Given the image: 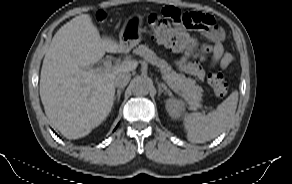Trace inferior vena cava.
<instances>
[{
    "instance_id": "1",
    "label": "inferior vena cava",
    "mask_w": 292,
    "mask_h": 184,
    "mask_svg": "<svg viewBox=\"0 0 292 184\" xmlns=\"http://www.w3.org/2000/svg\"><path fill=\"white\" fill-rule=\"evenodd\" d=\"M131 79L129 72H121L114 78V86L117 88H124L127 86Z\"/></svg>"
}]
</instances>
